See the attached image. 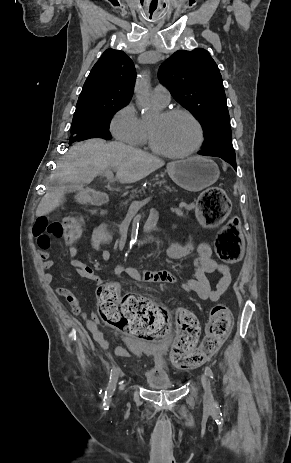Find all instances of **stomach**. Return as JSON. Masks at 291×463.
<instances>
[{
	"mask_svg": "<svg viewBox=\"0 0 291 463\" xmlns=\"http://www.w3.org/2000/svg\"><path fill=\"white\" fill-rule=\"evenodd\" d=\"M167 172L178 186L193 192L211 186L220 174L216 163L199 156L171 162L167 165Z\"/></svg>",
	"mask_w": 291,
	"mask_h": 463,
	"instance_id": "obj_1",
	"label": "stomach"
}]
</instances>
